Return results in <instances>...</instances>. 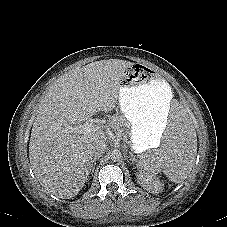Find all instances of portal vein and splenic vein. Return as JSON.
<instances>
[{
	"instance_id": "obj_1",
	"label": "portal vein and splenic vein",
	"mask_w": 227,
	"mask_h": 227,
	"mask_svg": "<svg viewBox=\"0 0 227 227\" xmlns=\"http://www.w3.org/2000/svg\"><path fill=\"white\" fill-rule=\"evenodd\" d=\"M78 133H90L99 129V125L95 124L93 120H88L84 124L77 125L73 128Z\"/></svg>"
}]
</instances>
